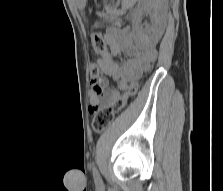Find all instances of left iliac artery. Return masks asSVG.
<instances>
[{
	"mask_svg": "<svg viewBox=\"0 0 223 191\" xmlns=\"http://www.w3.org/2000/svg\"><path fill=\"white\" fill-rule=\"evenodd\" d=\"M93 176H94L96 184L98 186L102 185V180H101V177H100L96 167H93Z\"/></svg>",
	"mask_w": 223,
	"mask_h": 191,
	"instance_id": "44dca946",
	"label": "left iliac artery"
}]
</instances>
